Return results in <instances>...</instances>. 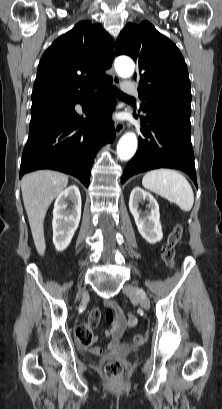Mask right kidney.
<instances>
[{
  "instance_id": "ca27d5eb",
  "label": "right kidney",
  "mask_w": 222,
  "mask_h": 409,
  "mask_svg": "<svg viewBox=\"0 0 222 409\" xmlns=\"http://www.w3.org/2000/svg\"><path fill=\"white\" fill-rule=\"evenodd\" d=\"M67 201L73 203L68 208ZM81 218V195L76 185L62 191L54 204L53 210V243L57 251H64L70 244Z\"/></svg>"
}]
</instances>
